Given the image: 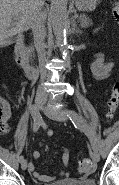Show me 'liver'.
<instances>
[{
	"mask_svg": "<svg viewBox=\"0 0 119 185\" xmlns=\"http://www.w3.org/2000/svg\"><path fill=\"white\" fill-rule=\"evenodd\" d=\"M44 0H0V47L9 44V38L27 31L36 11L42 8ZM20 15L11 27L12 17Z\"/></svg>",
	"mask_w": 119,
	"mask_h": 185,
	"instance_id": "obj_1",
	"label": "liver"
}]
</instances>
